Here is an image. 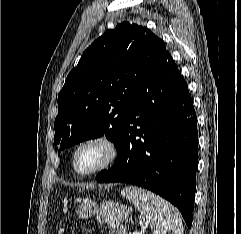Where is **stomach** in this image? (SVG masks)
<instances>
[{
    "instance_id": "1",
    "label": "stomach",
    "mask_w": 241,
    "mask_h": 234,
    "mask_svg": "<svg viewBox=\"0 0 241 234\" xmlns=\"http://www.w3.org/2000/svg\"><path fill=\"white\" fill-rule=\"evenodd\" d=\"M77 214L80 218H88L93 215L100 217L102 221L111 227H119L129 215V209L116 201L106 200L95 205L93 203H82Z\"/></svg>"
}]
</instances>
